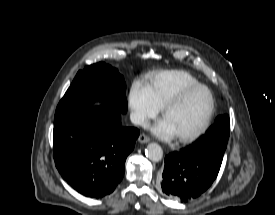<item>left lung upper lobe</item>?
Returning a JSON list of instances; mask_svg holds the SVG:
<instances>
[{
    "mask_svg": "<svg viewBox=\"0 0 275 215\" xmlns=\"http://www.w3.org/2000/svg\"><path fill=\"white\" fill-rule=\"evenodd\" d=\"M229 133L230 118L227 114L220 115L207 132L186 149L194 155L210 158L221 164Z\"/></svg>",
    "mask_w": 275,
    "mask_h": 215,
    "instance_id": "5c2ea615",
    "label": "left lung upper lobe"
}]
</instances>
